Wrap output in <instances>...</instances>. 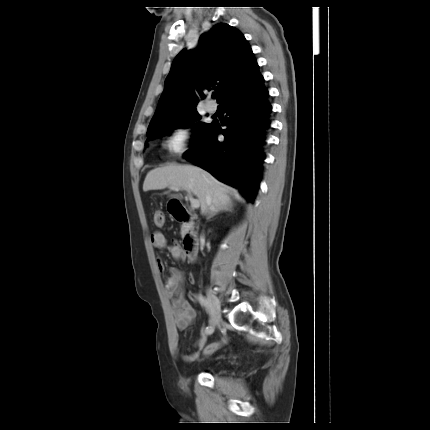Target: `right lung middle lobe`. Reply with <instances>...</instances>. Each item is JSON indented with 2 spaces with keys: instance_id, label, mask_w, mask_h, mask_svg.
Wrapping results in <instances>:
<instances>
[{
  "instance_id": "obj_1",
  "label": "right lung middle lobe",
  "mask_w": 430,
  "mask_h": 430,
  "mask_svg": "<svg viewBox=\"0 0 430 430\" xmlns=\"http://www.w3.org/2000/svg\"><path fill=\"white\" fill-rule=\"evenodd\" d=\"M201 118L199 113L196 109L187 110L180 114H177L165 121L159 122L153 126H150L147 131V136L149 137L147 141L156 136V135H163L164 133H170L171 130L178 126H192L195 121H198ZM214 125V122L211 124L207 123H197L195 127V139H194V146L190 150L192 152L195 150L207 137L209 131L212 129Z\"/></svg>"
}]
</instances>
